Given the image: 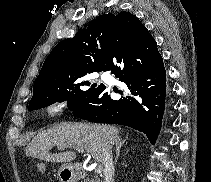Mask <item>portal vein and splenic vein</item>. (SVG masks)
Returning a JSON list of instances; mask_svg holds the SVG:
<instances>
[{"mask_svg":"<svg viewBox=\"0 0 211 182\" xmlns=\"http://www.w3.org/2000/svg\"><path fill=\"white\" fill-rule=\"evenodd\" d=\"M80 153H84V150L83 148H76ZM102 169H101V166L98 165V164H95V172L96 173H101Z\"/></svg>","mask_w":211,"mask_h":182,"instance_id":"obj_1","label":"portal vein and splenic vein"}]
</instances>
